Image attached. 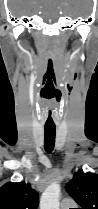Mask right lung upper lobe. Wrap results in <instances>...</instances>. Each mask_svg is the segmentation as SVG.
Wrapping results in <instances>:
<instances>
[{
    "label": "right lung upper lobe",
    "mask_w": 98,
    "mask_h": 209,
    "mask_svg": "<svg viewBox=\"0 0 98 209\" xmlns=\"http://www.w3.org/2000/svg\"><path fill=\"white\" fill-rule=\"evenodd\" d=\"M39 196L29 183L8 182L0 188V209H37Z\"/></svg>",
    "instance_id": "1"
}]
</instances>
